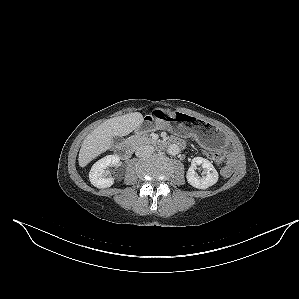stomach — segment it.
Segmentation results:
<instances>
[{"label": "stomach", "instance_id": "1", "mask_svg": "<svg viewBox=\"0 0 299 299\" xmlns=\"http://www.w3.org/2000/svg\"><path fill=\"white\" fill-rule=\"evenodd\" d=\"M157 129H176L192 135L197 142L206 149L221 148L225 135L209 123H199L189 114L182 112L167 113L163 109H154L139 127L140 133H147Z\"/></svg>", "mask_w": 299, "mask_h": 299}]
</instances>
